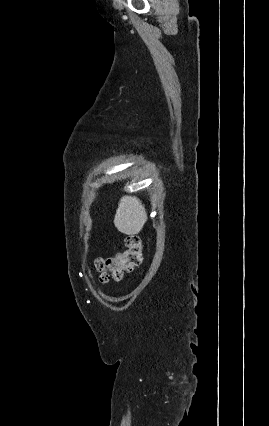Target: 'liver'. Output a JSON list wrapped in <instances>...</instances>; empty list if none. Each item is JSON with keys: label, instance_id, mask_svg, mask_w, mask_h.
<instances>
[{"label": "liver", "instance_id": "obj_1", "mask_svg": "<svg viewBox=\"0 0 269 426\" xmlns=\"http://www.w3.org/2000/svg\"><path fill=\"white\" fill-rule=\"evenodd\" d=\"M147 218L140 199L135 196H123L116 210L114 225L119 232L133 236L142 230Z\"/></svg>", "mask_w": 269, "mask_h": 426}]
</instances>
